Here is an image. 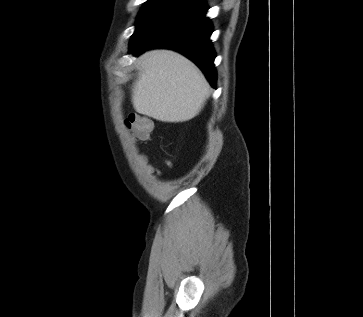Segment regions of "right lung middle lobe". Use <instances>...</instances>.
<instances>
[{
  "instance_id": "dd1d6c3e",
  "label": "right lung middle lobe",
  "mask_w": 363,
  "mask_h": 317,
  "mask_svg": "<svg viewBox=\"0 0 363 317\" xmlns=\"http://www.w3.org/2000/svg\"><path fill=\"white\" fill-rule=\"evenodd\" d=\"M183 2L184 0H148L139 13L137 27L132 35L131 42L139 38L163 14Z\"/></svg>"
}]
</instances>
